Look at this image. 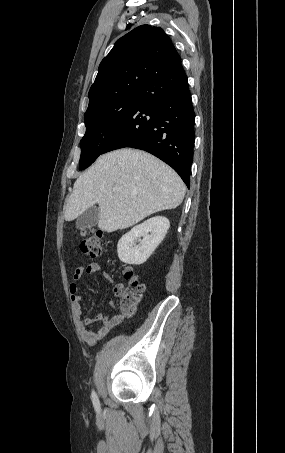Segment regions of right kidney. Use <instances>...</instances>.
<instances>
[{"label": "right kidney", "mask_w": 285, "mask_h": 453, "mask_svg": "<svg viewBox=\"0 0 285 453\" xmlns=\"http://www.w3.org/2000/svg\"><path fill=\"white\" fill-rule=\"evenodd\" d=\"M169 227V220L163 216L152 217L133 227L118 241L119 259L127 264H143L165 238Z\"/></svg>", "instance_id": "right-kidney-1"}]
</instances>
